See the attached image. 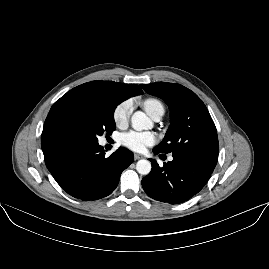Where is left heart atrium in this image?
<instances>
[{"label":"left heart atrium","mask_w":269,"mask_h":269,"mask_svg":"<svg viewBox=\"0 0 269 269\" xmlns=\"http://www.w3.org/2000/svg\"><path fill=\"white\" fill-rule=\"evenodd\" d=\"M158 137L155 133L128 131L120 135L119 142L125 148L134 152H143L155 144Z\"/></svg>","instance_id":"1"}]
</instances>
